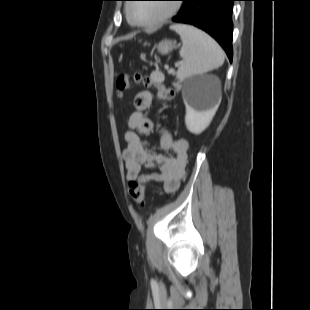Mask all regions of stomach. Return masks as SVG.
Listing matches in <instances>:
<instances>
[{
  "label": "stomach",
  "mask_w": 310,
  "mask_h": 310,
  "mask_svg": "<svg viewBox=\"0 0 310 310\" xmlns=\"http://www.w3.org/2000/svg\"><path fill=\"white\" fill-rule=\"evenodd\" d=\"M175 47L176 43L173 41H162L158 45H156L158 52L162 55L168 54L169 51H171Z\"/></svg>",
  "instance_id": "obj_1"
}]
</instances>
